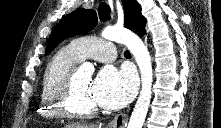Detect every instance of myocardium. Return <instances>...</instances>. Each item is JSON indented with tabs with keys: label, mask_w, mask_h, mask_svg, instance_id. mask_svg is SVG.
Masks as SVG:
<instances>
[{
	"label": "myocardium",
	"mask_w": 221,
	"mask_h": 128,
	"mask_svg": "<svg viewBox=\"0 0 221 128\" xmlns=\"http://www.w3.org/2000/svg\"><path fill=\"white\" fill-rule=\"evenodd\" d=\"M76 69L67 76L61 87L53 94L52 103L58 113L69 119L90 118L97 114L96 106L88 109L79 108L73 103L75 92Z\"/></svg>",
	"instance_id": "myocardium-1"
}]
</instances>
